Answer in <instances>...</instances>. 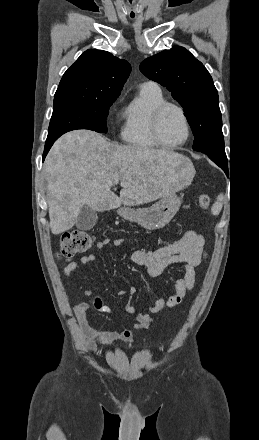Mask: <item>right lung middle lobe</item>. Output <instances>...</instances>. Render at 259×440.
Masks as SVG:
<instances>
[{"label":"right lung middle lobe","mask_w":259,"mask_h":440,"mask_svg":"<svg viewBox=\"0 0 259 440\" xmlns=\"http://www.w3.org/2000/svg\"><path fill=\"white\" fill-rule=\"evenodd\" d=\"M116 100L82 96H58L54 98L47 140L58 138L75 129H89L107 133L106 118L109 107Z\"/></svg>","instance_id":"dd1d6c3e"}]
</instances>
